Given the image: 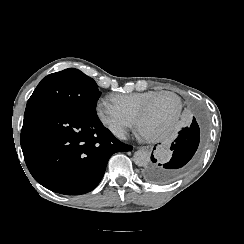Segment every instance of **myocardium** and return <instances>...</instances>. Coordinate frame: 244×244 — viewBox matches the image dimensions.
<instances>
[{
  "instance_id": "myocardium-1",
  "label": "myocardium",
  "mask_w": 244,
  "mask_h": 244,
  "mask_svg": "<svg viewBox=\"0 0 244 244\" xmlns=\"http://www.w3.org/2000/svg\"><path fill=\"white\" fill-rule=\"evenodd\" d=\"M163 96L175 97L178 100V107H177V110L165 122H160V124H161L160 127L155 130L157 132H159L164 126L172 124L174 122V120L176 119V117L178 116V114L181 111L182 99L175 92H162V93H156V95L151 100H149L142 106V108L139 112V115L137 116V125H142V127L148 128V126L146 125V123L144 121V116H145L146 110L148 108H150L154 102H157L160 98H163Z\"/></svg>"
}]
</instances>
